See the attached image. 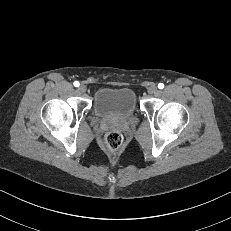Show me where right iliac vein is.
<instances>
[{
  "label": "right iliac vein",
  "mask_w": 231,
  "mask_h": 231,
  "mask_svg": "<svg viewBox=\"0 0 231 231\" xmlns=\"http://www.w3.org/2000/svg\"><path fill=\"white\" fill-rule=\"evenodd\" d=\"M78 89H79V91L82 92V93L86 92V86L83 85V84H81V85L79 86Z\"/></svg>",
  "instance_id": "63e3f726"
}]
</instances>
